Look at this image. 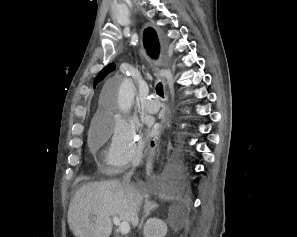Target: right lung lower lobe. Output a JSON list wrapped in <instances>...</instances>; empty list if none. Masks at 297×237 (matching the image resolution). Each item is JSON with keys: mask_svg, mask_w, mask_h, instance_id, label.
I'll list each match as a JSON object with an SVG mask.
<instances>
[{"mask_svg": "<svg viewBox=\"0 0 297 237\" xmlns=\"http://www.w3.org/2000/svg\"><path fill=\"white\" fill-rule=\"evenodd\" d=\"M174 160H175V155L172 158V163H171L172 165H173Z\"/></svg>", "mask_w": 297, "mask_h": 237, "instance_id": "1", "label": "right lung lower lobe"}]
</instances>
